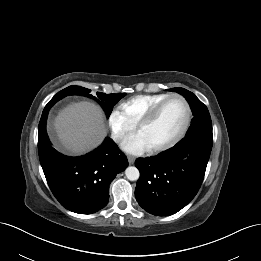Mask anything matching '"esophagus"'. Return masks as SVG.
Returning a JSON list of instances; mask_svg holds the SVG:
<instances>
[{"label": "esophagus", "instance_id": "34e87169", "mask_svg": "<svg viewBox=\"0 0 261 261\" xmlns=\"http://www.w3.org/2000/svg\"><path fill=\"white\" fill-rule=\"evenodd\" d=\"M129 164H133L135 162V158L133 156L127 157Z\"/></svg>", "mask_w": 261, "mask_h": 261}]
</instances>
